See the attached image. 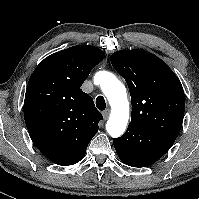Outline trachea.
Listing matches in <instances>:
<instances>
[{"mask_svg":"<svg viewBox=\"0 0 199 199\" xmlns=\"http://www.w3.org/2000/svg\"><path fill=\"white\" fill-rule=\"evenodd\" d=\"M96 107L99 110H101V111L105 110V108H106V102H105V99H104L103 96H98L96 98Z\"/></svg>","mask_w":199,"mask_h":199,"instance_id":"1","label":"trachea"}]
</instances>
